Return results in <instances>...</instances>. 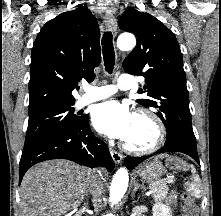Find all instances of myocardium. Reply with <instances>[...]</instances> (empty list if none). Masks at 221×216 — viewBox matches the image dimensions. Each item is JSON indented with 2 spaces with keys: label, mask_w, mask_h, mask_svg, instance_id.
I'll use <instances>...</instances> for the list:
<instances>
[{
  "label": "myocardium",
  "mask_w": 221,
  "mask_h": 216,
  "mask_svg": "<svg viewBox=\"0 0 221 216\" xmlns=\"http://www.w3.org/2000/svg\"><path fill=\"white\" fill-rule=\"evenodd\" d=\"M135 117H144L148 119L155 127V139L148 145L143 147H138L129 144L126 140L122 142V147L125 151L132 154H147L157 150L164 142L166 136V129L161 118L152 110L148 108H138L134 114Z\"/></svg>",
  "instance_id": "f54148a6"
}]
</instances>
